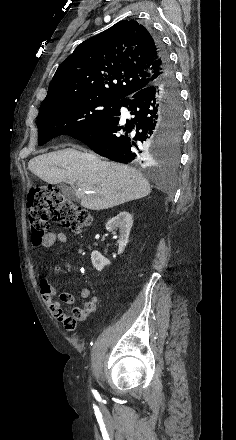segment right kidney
<instances>
[{
    "mask_svg": "<svg viewBox=\"0 0 236 440\" xmlns=\"http://www.w3.org/2000/svg\"><path fill=\"white\" fill-rule=\"evenodd\" d=\"M133 225L132 215L126 211L120 212L117 216L110 219L106 224V229L110 232H115L119 229V239H118V255L122 254L129 238V233ZM91 261L93 267L97 271H101L106 265L110 264V261L106 259L98 251H93L91 253Z\"/></svg>",
    "mask_w": 236,
    "mask_h": 440,
    "instance_id": "1",
    "label": "right kidney"
}]
</instances>
